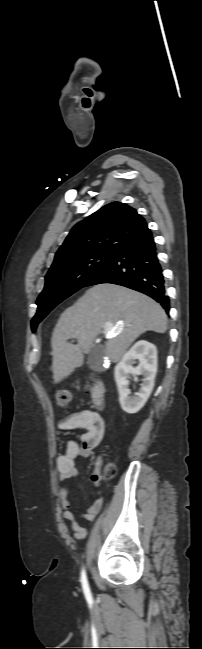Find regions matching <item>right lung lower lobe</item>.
I'll return each mask as SVG.
<instances>
[{
	"label": "right lung lower lobe",
	"mask_w": 202,
	"mask_h": 649,
	"mask_svg": "<svg viewBox=\"0 0 202 649\" xmlns=\"http://www.w3.org/2000/svg\"><path fill=\"white\" fill-rule=\"evenodd\" d=\"M113 283L142 292L169 312V298L151 231L119 250L84 287Z\"/></svg>",
	"instance_id": "right-lung-lower-lobe-1"
}]
</instances>
